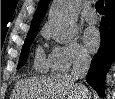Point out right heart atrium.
Returning <instances> with one entry per match:
<instances>
[{
    "mask_svg": "<svg viewBox=\"0 0 115 99\" xmlns=\"http://www.w3.org/2000/svg\"><path fill=\"white\" fill-rule=\"evenodd\" d=\"M43 34L46 38L50 37L47 27ZM88 59V53L75 39L66 44L55 45L48 56L51 68L58 72H67L74 66L86 63Z\"/></svg>",
    "mask_w": 115,
    "mask_h": 99,
    "instance_id": "d8ad5b80",
    "label": "right heart atrium"
}]
</instances>
